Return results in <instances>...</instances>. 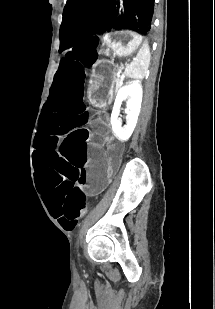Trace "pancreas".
<instances>
[{
  "mask_svg": "<svg viewBox=\"0 0 215 309\" xmlns=\"http://www.w3.org/2000/svg\"><path fill=\"white\" fill-rule=\"evenodd\" d=\"M120 80H121V78H116V80H115L117 88H118V86H120ZM117 88H116V90H117Z\"/></svg>",
  "mask_w": 215,
  "mask_h": 309,
  "instance_id": "cf45deb5",
  "label": "pancreas"
}]
</instances>
